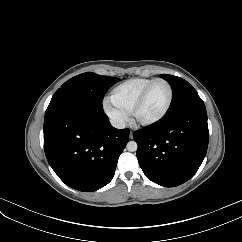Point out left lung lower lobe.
I'll return each instance as SVG.
<instances>
[{
    "mask_svg": "<svg viewBox=\"0 0 242 242\" xmlns=\"http://www.w3.org/2000/svg\"><path fill=\"white\" fill-rule=\"evenodd\" d=\"M137 158L148 179L165 187L189 180L200 167L209 131L204 103L166 114L158 122L134 132Z\"/></svg>",
    "mask_w": 242,
    "mask_h": 242,
    "instance_id": "obj_1",
    "label": "left lung lower lobe"
}]
</instances>
